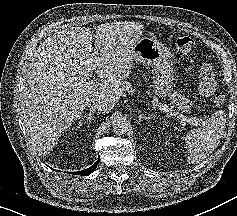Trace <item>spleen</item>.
<instances>
[{"instance_id": "1", "label": "spleen", "mask_w": 237, "mask_h": 216, "mask_svg": "<svg viewBox=\"0 0 237 216\" xmlns=\"http://www.w3.org/2000/svg\"><path fill=\"white\" fill-rule=\"evenodd\" d=\"M181 140L183 143H187L186 147L191 154L190 158L195 159L201 153L206 152L210 147L216 145L218 135L216 130L205 122L200 127L185 133Z\"/></svg>"}]
</instances>
